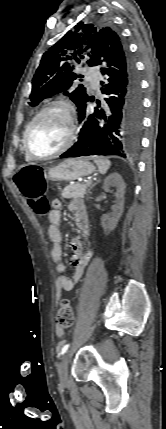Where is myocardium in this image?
Segmentation results:
<instances>
[{
	"mask_svg": "<svg viewBox=\"0 0 166 429\" xmlns=\"http://www.w3.org/2000/svg\"><path fill=\"white\" fill-rule=\"evenodd\" d=\"M51 110H59L65 115L67 120V138L65 143L55 152L45 156H38L34 154L29 148V135L33 126L38 121V119ZM75 131H76V125H75V117H74V111L72 106L64 100L52 101L47 105H45L42 109H40L39 112L34 116V118L30 121V123L26 127V130L23 135V149L26 155L31 160L46 161V160L53 159L63 154L64 152H66L72 146L75 138Z\"/></svg>",
	"mask_w": 166,
	"mask_h": 429,
	"instance_id": "f54148a6",
	"label": "myocardium"
}]
</instances>
